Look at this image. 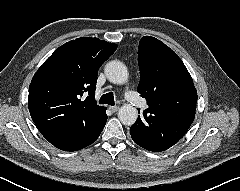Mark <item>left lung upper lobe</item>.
<instances>
[{
    "label": "left lung upper lobe",
    "mask_w": 240,
    "mask_h": 191,
    "mask_svg": "<svg viewBox=\"0 0 240 191\" xmlns=\"http://www.w3.org/2000/svg\"><path fill=\"white\" fill-rule=\"evenodd\" d=\"M138 62V92L148 101L144 112L150 122L173 128L183 136L195 118L198 98L184 63L163 42L150 36L140 40Z\"/></svg>",
    "instance_id": "5c2ea615"
}]
</instances>
